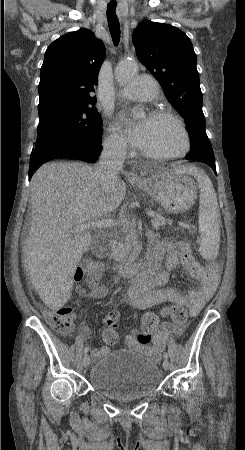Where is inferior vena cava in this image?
Wrapping results in <instances>:
<instances>
[{
  "label": "inferior vena cava",
  "instance_id": "1",
  "mask_svg": "<svg viewBox=\"0 0 245 450\" xmlns=\"http://www.w3.org/2000/svg\"><path fill=\"white\" fill-rule=\"evenodd\" d=\"M125 157L126 145L123 142L111 141L104 145L95 174L105 192H110L114 188Z\"/></svg>",
  "mask_w": 245,
  "mask_h": 450
}]
</instances>
